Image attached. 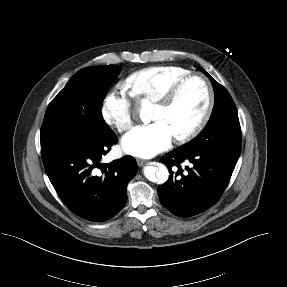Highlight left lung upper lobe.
Segmentation results:
<instances>
[{"label": "left lung upper lobe", "mask_w": 287, "mask_h": 287, "mask_svg": "<svg viewBox=\"0 0 287 287\" xmlns=\"http://www.w3.org/2000/svg\"><path fill=\"white\" fill-rule=\"evenodd\" d=\"M215 92V103L204 130L192 141L182 146L186 149L217 150L239 157L241 152V128L236 106L228 91L216 82L204 69Z\"/></svg>", "instance_id": "5c2ea615"}]
</instances>
